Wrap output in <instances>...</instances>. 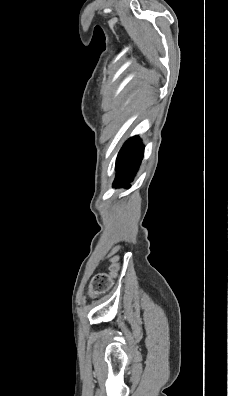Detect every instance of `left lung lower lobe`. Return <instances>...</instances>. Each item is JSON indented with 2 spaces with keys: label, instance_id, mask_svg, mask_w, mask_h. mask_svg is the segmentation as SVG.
<instances>
[{
  "label": "left lung lower lobe",
  "instance_id": "1",
  "mask_svg": "<svg viewBox=\"0 0 228 396\" xmlns=\"http://www.w3.org/2000/svg\"><path fill=\"white\" fill-rule=\"evenodd\" d=\"M144 147L137 136L128 139L121 148L116 160L114 187H130L129 182L137 172L143 158Z\"/></svg>",
  "mask_w": 228,
  "mask_h": 396
}]
</instances>
